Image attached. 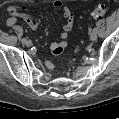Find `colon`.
Returning <instances> with one entry per match:
<instances>
[{
	"label": "colon",
	"instance_id": "obj_1",
	"mask_svg": "<svg viewBox=\"0 0 119 119\" xmlns=\"http://www.w3.org/2000/svg\"><path fill=\"white\" fill-rule=\"evenodd\" d=\"M107 13V7L105 5H98L92 12V17L96 20H101Z\"/></svg>",
	"mask_w": 119,
	"mask_h": 119
}]
</instances>
